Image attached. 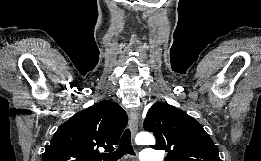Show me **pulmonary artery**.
I'll return each mask as SVG.
<instances>
[{"instance_id": "1", "label": "pulmonary artery", "mask_w": 261, "mask_h": 161, "mask_svg": "<svg viewBox=\"0 0 261 161\" xmlns=\"http://www.w3.org/2000/svg\"><path fill=\"white\" fill-rule=\"evenodd\" d=\"M140 160L141 161H155V158L150 155L149 149H144L140 153Z\"/></svg>"}]
</instances>
